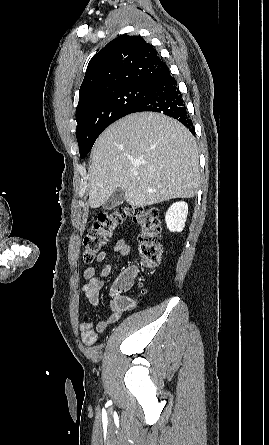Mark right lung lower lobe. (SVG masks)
Listing matches in <instances>:
<instances>
[{"label": "right lung lower lobe", "mask_w": 269, "mask_h": 445, "mask_svg": "<svg viewBox=\"0 0 269 445\" xmlns=\"http://www.w3.org/2000/svg\"><path fill=\"white\" fill-rule=\"evenodd\" d=\"M150 87V95L134 109L133 113L142 111L163 113L180 121L194 134L192 121L187 113L182 94L168 68Z\"/></svg>", "instance_id": "obj_1"}]
</instances>
